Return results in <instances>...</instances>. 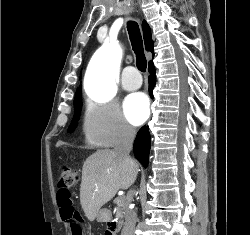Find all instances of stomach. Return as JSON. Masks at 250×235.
Here are the masks:
<instances>
[{"instance_id":"1","label":"stomach","mask_w":250,"mask_h":235,"mask_svg":"<svg viewBox=\"0 0 250 235\" xmlns=\"http://www.w3.org/2000/svg\"><path fill=\"white\" fill-rule=\"evenodd\" d=\"M97 220L99 222H106L109 220V212L106 209H101L97 214Z\"/></svg>"}]
</instances>
